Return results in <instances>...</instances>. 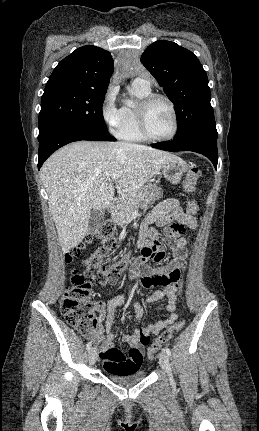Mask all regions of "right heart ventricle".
Instances as JSON below:
<instances>
[{"instance_id":"1","label":"right heart ventricle","mask_w":259,"mask_h":431,"mask_svg":"<svg viewBox=\"0 0 259 431\" xmlns=\"http://www.w3.org/2000/svg\"><path fill=\"white\" fill-rule=\"evenodd\" d=\"M131 92L138 100L151 94L150 89H141L138 87H131ZM122 122L116 131L117 137L128 142H145L146 138L141 134L136 117V106L125 105L122 107Z\"/></svg>"}]
</instances>
